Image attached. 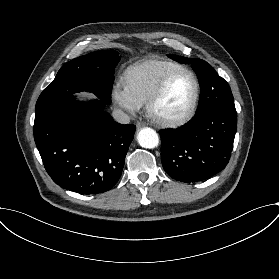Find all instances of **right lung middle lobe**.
<instances>
[{
	"mask_svg": "<svg viewBox=\"0 0 279 279\" xmlns=\"http://www.w3.org/2000/svg\"><path fill=\"white\" fill-rule=\"evenodd\" d=\"M120 58L114 50H103L69 61L58 71L53 82L43 90L37 100L36 110L81 91L92 92L109 105L114 70Z\"/></svg>",
	"mask_w": 279,
	"mask_h": 279,
	"instance_id": "dd1d6c3e",
	"label": "right lung middle lobe"
}]
</instances>
